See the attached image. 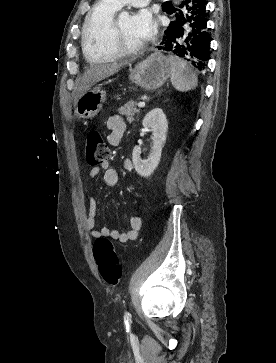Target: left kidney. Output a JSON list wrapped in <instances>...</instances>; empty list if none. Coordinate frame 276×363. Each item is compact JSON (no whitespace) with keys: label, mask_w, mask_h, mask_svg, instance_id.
<instances>
[{"label":"left kidney","mask_w":276,"mask_h":363,"mask_svg":"<svg viewBox=\"0 0 276 363\" xmlns=\"http://www.w3.org/2000/svg\"><path fill=\"white\" fill-rule=\"evenodd\" d=\"M143 127L152 132L153 147L147 159L141 158V150L135 146L132 160L137 173L142 177H149L158 166L161 158L162 148L166 142L168 122L162 109L155 108L144 117Z\"/></svg>","instance_id":"left-kidney-1"}]
</instances>
